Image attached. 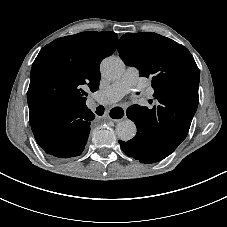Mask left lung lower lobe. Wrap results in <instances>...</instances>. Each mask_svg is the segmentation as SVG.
Returning <instances> with one entry per match:
<instances>
[{
  "label": "left lung lower lobe",
  "mask_w": 227,
  "mask_h": 227,
  "mask_svg": "<svg viewBox=\"0 0 227 227\" xmlns=\"http://www.w3.org/2000/svg\"><path fill=\"white\" fill-rule=\"evenodd\" d=\"M195 111L183 106H154L137 104L126 111L136 127V136L119 141L125 154L142 163H155L170 155L188 134Z\"/></svg>",
  "instance_id": "1"
}]
</instances>
